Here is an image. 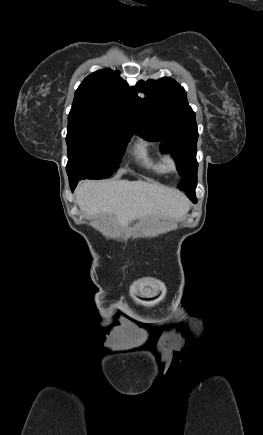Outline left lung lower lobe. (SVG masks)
I'll return each mask as SVG.
<instances>
[{
	"label": "left lung lower lobe",
	"instance_id": "1",
	"mask_svg": "<svg viewBox=\"0 0 263 435\" xmlns=\"http://www.w3.org/2000/svg\"><path fill=\"white\" fill-rule=\"evenodd\" d=\"M186 195L189 197V199H190L193 203H197V199H196V196H195V190L190 191V192H187Z\"/></svg>",
	"mask_w": 263,
	"mask_h": 435
}]
</instances>
